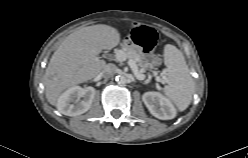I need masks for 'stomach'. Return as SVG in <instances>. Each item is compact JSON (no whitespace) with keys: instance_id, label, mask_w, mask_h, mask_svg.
Returning <instances> with one entry per match:
<instances>
[{"instance_id":"0dacf381","label":"stomach","mask_w":248,"mask_h":158,"mask_svg":"<svg viewBox=\"0 0 248 158\" xmlns=\"http://www.w3.org/2000/svg\"><path fill=\"white\" fill-rule=\"evenodd\" d=\"M143 58L145 61L149 63V67L147 69H152L156 65L154 61V56L152 54H143Z\"/></svg>"}]
</instances>
